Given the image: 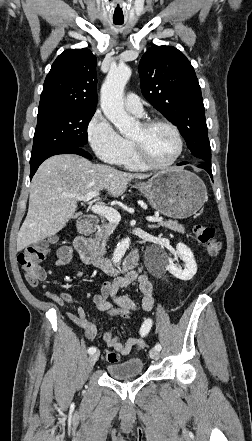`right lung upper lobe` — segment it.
<instances>
[{
    "mask_svg": "<svg viewBox=\"0 0 252 441\" xmlns=\"http://www.w3.org/2000/svg\"><path fill=\"white\" fill-rule=\"evenodd\" d=\"M97 58L87 49H68L52 64L39 108L63 106L94 109L97 104Z\"/></svg>",
    "mask_w": 252,
    "mask_h": 441,
    "instance_id": "obj_1",
    "label": "right lung upper lobe"
}]
</instances>
